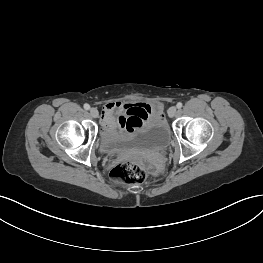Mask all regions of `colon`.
I'll use <instances>...</instances> for the list:
<instances>
[{
  "label": "colon",
  "mask_w": 263,
  "mask_h": 263,
  "mask_svg": "<svg viewBox=\"0 0 263 263\" xmlns=\"http://www.w3.org/2000/svg\"><path fill=\"white\" fill-rule=\"evenodd\" d=\"M111 176L115 181L126 185L143 182L145 179V172L141 158L133 157L118 164L112 169Z\"/></svg>",
  "instance_id": "colon-1"
}]
</instances>
